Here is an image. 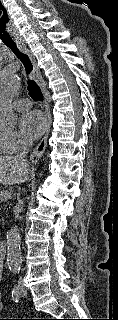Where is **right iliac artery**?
Wrapping results in <instances>:
<instances>
[{"mask_svg":"<svg viewBox=\"0 0 118 320\" xmlns=\"http://www.w3.org/2000/svg\"><path fill=\"white\" fill-rule=\"evenodd\" d=\"M20 299V290L18 286H15L12 291V300L18 302Z\"/></svg>","mask_w":118,"mask_h":320,"instance_id":"82829eb1","label":"right iliac artery"}]
</instances>
